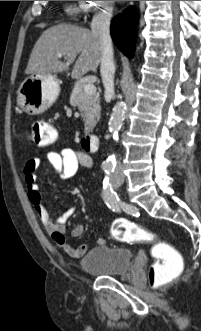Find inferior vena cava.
Returning a JSON list of instances; mask_svg holds the SVG:
<instances>
[{
    "label": "inferior vena cava",
    "mask_w": 201,
    "mask_h": 331,
    "mask_svg": "<svg viewBox=\"0 0 201 331\" xmlns=\"http://www.w3.org/2000/svg\"><path fill=\"white\" fill-rule=\"evenodd\" d=\"M112 17V11L110 9L101 10L92 19L91 29L93 34L98 35L101 49L102 59L100 72L105 88V95L112 96L114 94V74L115 64L113 60V46L110 36V20ZM114 176H118L120 180H123L122 167L117 160Z\"/></svg>",
    "instance_id": "obj_1"
}]
</instances>
